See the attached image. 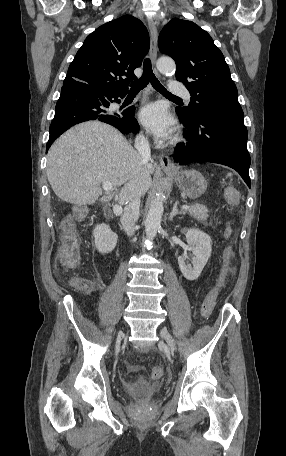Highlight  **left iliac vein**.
I'll use <instances>...</instances> for the list:
<instances>
[{"label": "left iliac vein", "instance_id": "1", "mask_svg": "<svg viewBox=\"0 0 286 456\" xmlns=\"http://www.w3.org/2000/svg\"><path fill=\"white\" fill-rule=\"evenodd\" d=\"M160 335L166 341L169 349L171 351H174L175 350V341H174L173 337L171 336V334L166 329L163 328L160 331Z\"/></svg>", "mask_w": 286, "mask_h": 456}]
</instances>
